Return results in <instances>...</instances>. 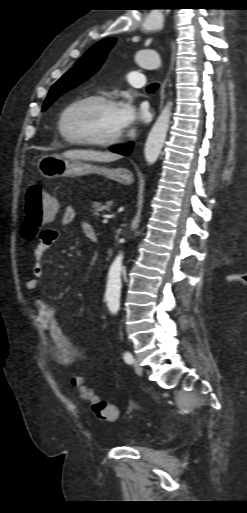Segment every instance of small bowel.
I'll list each match as a JSON object with an SVG mask.
<instances>
[{
  "label": "small bowel",
  "instance_id": "1",
  "mask_svg": "<svg viewBox=\"0 0 247 513\" xmlns=\"http://www.w3.org/2000/svg\"><path fill=\"white\" fill-rule=\"evenodd\" d=\"M76 218L75 208L67 206L62 213L60 222L66 226L75 222ZM79 225L85 236L91 240V235H95L92 226L84 221L80 222ZM59 238L60 233L54 228L46 227L39 232L38 244L34 250L35 263L31 270V277L25 283V288L28 291H35L39 288L40 279L44 275L42 264L44 254ZM34 308L37 322L50 337L48 350L52 360L59 365L68 367L77 366L84 362L88 353L69 339L59 322L57 308L40 297L34 299Z\"/></svg>",
  "mask_w": 247,
  "mask_h": 513
}]
</instances>
